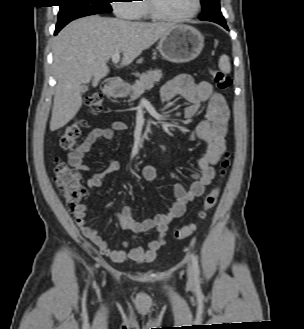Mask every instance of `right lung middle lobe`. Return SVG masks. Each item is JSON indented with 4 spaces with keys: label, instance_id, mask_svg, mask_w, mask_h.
I'll use <instances>...</instances> for the list:
<instances>
[{
    "label": "right lung middle lobe",
    "instance_id": "right-lung-middle-lobe-1",
    "mask_svg": "<svg viewBox=\"0 0 304 329\" xmlns=\"http://www.w3.org/2000/svg\"><path fill=\"white\" fill-rule=\"evenodd\" d=\"M110 0H59L57 26H65L70 21L98 13H110Z\"/></svg>",
    "mask_w": 304,
    "mask_h": 329
}]
</instances>
